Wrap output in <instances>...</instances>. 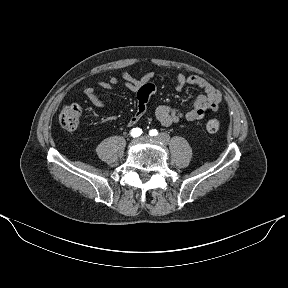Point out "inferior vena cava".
I'll return each instance as SVG.
<instances>
[{"label": "inferior vena cava", "mask_w": 288, "mask_h": 288, "mask_svg": "<svg viewBox=\"0 0 288 288\" xmlns=\"http://www.w3.org/2000/svg\"><path fill=\"white\" fill-rule=\"evenodd\" d=\"M155 138L162 146L167 147L170 144L169 137L163 131H157L155 133Z\"/></svg>", "instance_id": "inferior-vena-cava-1"}]
</instances>
